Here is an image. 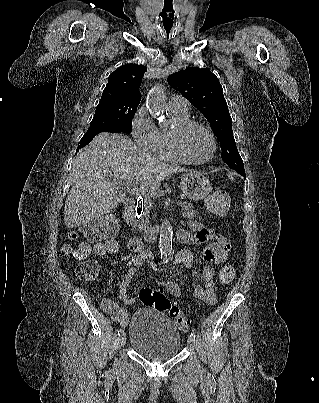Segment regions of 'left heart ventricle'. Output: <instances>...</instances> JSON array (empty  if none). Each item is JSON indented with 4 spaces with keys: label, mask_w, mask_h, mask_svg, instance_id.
<instances>
[{
    "label": "left heart ventricle",
    "mask_w": 319,
    "mask_h": 403,
    "mask_svg": "<svg viewBox=\"0 0 319 403\" xmlns=\"http://www.w3.org/2000/svg\"><path fill=\"white\" fill-rule=\"evenodd\" d=\"M183 145L186 154L194 160L207 159L212 152L211 141L200 128L189 130L183 138Z\"/></svg>",
    "instance_id": "b2bd125f"
}]
</instances>
